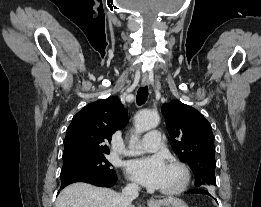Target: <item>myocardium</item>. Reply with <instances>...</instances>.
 <instances>
[{"label": "myocardium", "instance_id": "f54148a6", "mask_svg": "<svg viewBox=\"0 0 261 207\" xmlns=\"http://www.w3.org/2000/svg\"><path fill=\"white\" fill-rule=\"evenodd\" d=\"M168 165L174 168H177L180 173H181V178L179 183L172 187V188H167V189H159L160 193L164 194V195H177L181 192H183L187 186L189 185L190 182V172L188 167L177 160H171L168 162Z\"/></svg>", "mask_w": 261, "mask_h": 207}]
</instances>
